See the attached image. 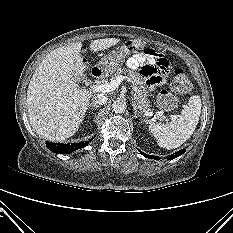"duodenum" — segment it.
<instances>
[{
  "instance_id": "duodenum-1",
  "label": "duodenum",
  "mask_w": 233,
  "mask_h": 233,
  "mask_svg": "<svg viewBox=\"0 0 233 233\" xmlns=\"http://www.w3.org/2000/svg\"><path fill=\"white\" fill-rule=\"evenodd\" d=\"M92 75H93L94 77H96V78H99L100 76H102V72H101L99 69L94 68V69L92 70Z\"/></svg>"
}]
</instances>
